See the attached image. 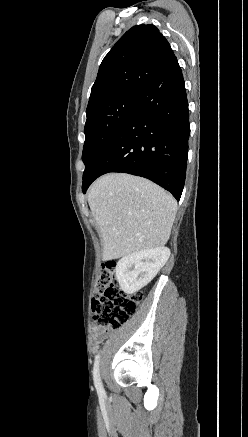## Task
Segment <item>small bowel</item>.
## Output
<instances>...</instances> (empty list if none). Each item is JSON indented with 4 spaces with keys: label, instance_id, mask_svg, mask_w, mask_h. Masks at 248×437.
Returning a JSON list of instances; mask_svg holds the SVG:
<instances>
[{
    "label": "small bowel",
    "instance_id": "c3829d8e",
    "mask_svg": "<svg viewBox=\"0 0 248 437\" xmlns=\"http://www.w3.org/2000/svg\"><path fill=\"white\" fill-rule=\"evenodd\" d=\"M109 333H110V330H108V329L99 328V327H95V326L92 327L91 328V336H92V341H93L94 345H97L100 342H102Z\"/></svg>",
    "mask_w": 248,
    "mask_h": 437
}]
</instances>
